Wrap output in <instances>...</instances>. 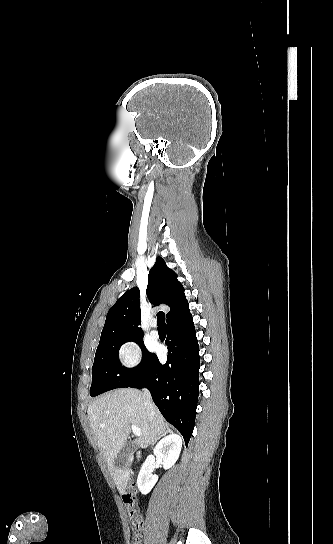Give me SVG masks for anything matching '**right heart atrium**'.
<instances>
[{"mask_svg":"<svg viewBox=\"0 0 333 544\" xmlns=\"http://www.w3.org/2000/svg\"><path fill=\"white\" fill-rule=\"evenodd\" d=\"M120 365L125 369L136 367L141 359V351L133 340L123 342L117 350Z\"/></svg>","mask_w":333,"mask_h":544,"instance_id":"d8ad5b80","label":"right heart atrium"}]
</instances>
